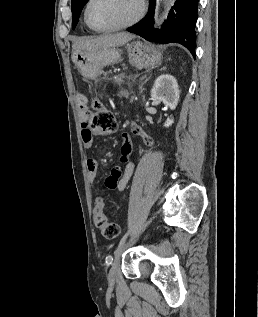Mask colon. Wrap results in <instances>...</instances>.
I'll return each mask as SVG.
<instances>
[{"label": "colon", "instance_id": "obj_1", "mask_svg": "<svg viewBox=\"0 0 258 317\" xmlns=\"http://www.w3.org/2000/svg\"><path fill=\"white\" fill-rule=\"evenodd\" d=\"M83 128L92 135H109L118 129L115 115L98 101L85 106V122ZM94 221L101 235L106 239H115L120 233L118 224L108 220L102 198H98L94 208Z\"/></svg>", "mask_w": 258, "mask_h": 317}]
</instances>
